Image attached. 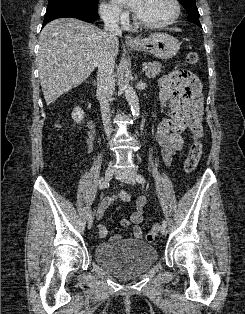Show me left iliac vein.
Listing matches in <instances>:
<instances>
[{
    "instance_id": "left-iliac-vein-1",
    "label": "left iliac vein",
    "mask_w": 245,
    "mask_h": 314,
    "mask_svg": "<svg viewBox=\"0 0 245 314\" xmlns=\"http://www.w3.org/2000/svg\"><path fill=\"white\" fill-rule=\"evenodd\" d=\"M123 181L130 185L136 184L135 178L132 175H126ZM161 233L162 235H167V228L164 225L161 226Z\"/></svg>"
}]
</instances>
